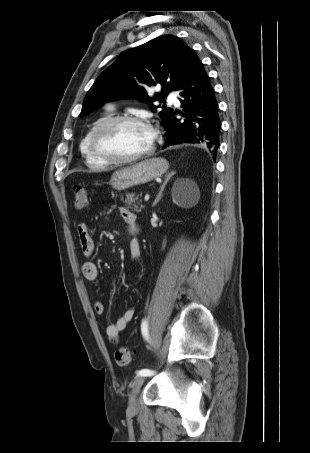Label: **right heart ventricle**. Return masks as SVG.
<instances>
[{
  "mask_svg": "<svg viewBox=\"0 0 310 453\" xmlns=\"http://www.w3.org/2000/svg\"><path fill=\"white\" fill-rule=\"evenodd\" d=\"M111 116V112L110 110H107L106 112H104L100 117H98L90 126L89 128L87 129V131L85 132L83 138L81 139V142H80V145H79V149H80V152L85 160V163L86 165L89 167V168H92V169H99V168H105L107 167L109 164L101 161L100 159H98L91 151V148H90V137H91V134L93 132V130L95 129V127L101 123L103 120L109 118Z\"/></svg>",
  "mask_w": 310,
  "mask_h": 453,
  "instance_id": "e07e8e85",
  "label": "right heart ventricle"
}]
</instances>
